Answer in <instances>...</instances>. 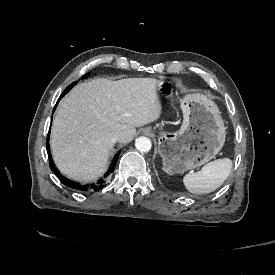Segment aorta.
Returning <instances> with one entry per match:
<instances>
[{"mask_svg":"<svg viewBox=\"0 0 275 275\" xmlns=\"http://www.w3.org/2000/svg\"><path fill=\"white\" fill-rule=\"evenodd\" d=\"M135 147L141 153H148L152 148V142L147 137H139L135 141Z\"/></svg>","mask_w":275,"mask_h":275,"instance_id":"aorta-1","label":"aorta"}]
</instances>
